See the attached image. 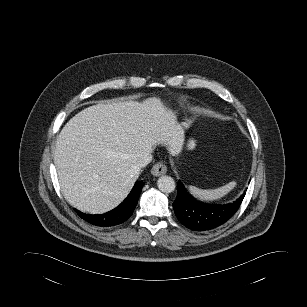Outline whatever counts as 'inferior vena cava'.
Listing matches in <instances>:
<instances>
[{
    "instance_id": "inferior-vena-cava-1",
    "label": "inferior vena cava",
    "mask_w": 307,
    "mask_h": 307,
    "mask_svg": "<svg viewBox=\"0 0 307 307\" xmlns=\"http://www.w3.org/2000/svg\"><path fill=\"white\" fill-rule=\"evenodd\" d=\"M151 161H152L151 153H146L138 160L137 165L135 166V169L140 171L141 168L148 165Z\"/></svg>"
}]
</instances>
